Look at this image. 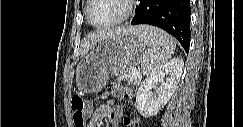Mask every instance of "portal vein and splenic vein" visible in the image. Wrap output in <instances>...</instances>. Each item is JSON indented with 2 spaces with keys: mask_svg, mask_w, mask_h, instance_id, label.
Instances as JSON below:
<instances>
[{
  "mask_svg": "<svg viewBox=\"0 0 243 127\" xmlns=\"http://www.w3.org/2000/svg\"><path fill=\"white\" fill-rule=\"evenodd\" d=\"M132 72H133L134 75L140 76V72L138 70L134 69Z\"/></svg>",
  "mask_w": 243,
  "mask_h": 127,
  "instance_id": "obj_1",
  "label": "portal vein and splenic vein"
}]
</instances>
